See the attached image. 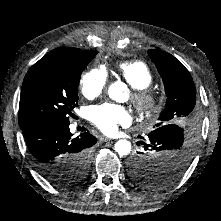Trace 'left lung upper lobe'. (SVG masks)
Wrapping results in <instances>:
<instances>
[{
    "mask_svg": "<svg viewBox=\"0 0 221 221\" xmlns=\"http://www.w3.org/2000/svg\"><path fill=\"white\" fill-rule=\"evenodd\" d=\"M148 55L163 79L167 101L157 128L148 134L150 142L137 152L146 166L130 175L138 185L155 189L176 181L191 160L192 148L184 143V130L173 123L181 120L191 125L198 115L196 89L189 71L167 52L150 49Z\"/></svg>",
    "mask_w": 221,
    "mask_h": 221,
    "instance_id": "obj_1",
    "label": "left lung upper lobe"
}]
</instances>
